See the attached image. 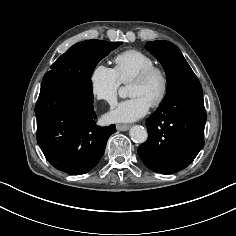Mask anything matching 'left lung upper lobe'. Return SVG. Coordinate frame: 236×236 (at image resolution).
Segmentation results:
<instances>
[{"label":"left lung upper lobe","instance_id":"5c2ea615","mask_svg":"<svg viewBox=\"0 0 236 236\" xmlns=\"http://www.w3.org/2000/svg\"><path fill=\"white\" fill-rule=\"evenodd\" d=\"M148 47L166 72L168 86L166 98L183 85L199 82L179 48L173 43L157 40L148 42Z\"/></svg>","mask_w":236,"mask_h":236}]
</instances>
